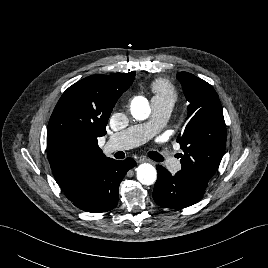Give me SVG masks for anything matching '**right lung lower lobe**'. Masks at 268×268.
Wrapping results in <instances>:
<instances>
[{"mask_svg":"<svg viewBox=\"0 0 268 268\" xmlns=\"http://www.w3.org/2000/svg\"><path fill=\"white\" fill-rule=\"evenodd\" d=\"M135 165L136 162L130 157L124 161L108 159L93 170L83 190L71 201L87 212L101 213L112 210L118 203L120 182Z\"/></svg>","mask_w":268,"mask_h":268,"instance_id":"1","label":"right lung lower lobe"}]
</instances>
